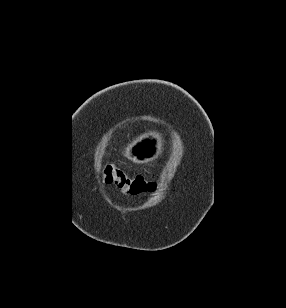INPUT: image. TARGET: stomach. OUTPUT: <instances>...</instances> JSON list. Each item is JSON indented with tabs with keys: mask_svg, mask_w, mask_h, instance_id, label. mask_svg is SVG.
I'll return each mask as SVG.
<instances>
[{
	"mask_svg": "<svg viewBox=\"0 0 286 308\" xmlns=\"http://www.w3.org/2000/svg\"><path fill=\"white\" fill-rule=\"evenodd\" d=\"M145 138H164V131H145ZM117 149H130L127 156L136 163L148 162L153 153L165 152L164 146H146L140 137H129L128 142H117Z\"/></svg>",
	"mask_w": 286,
	"mask_h": 308,
	"instance_id": "1",
	"label": "stomach"
}]
</instances>
